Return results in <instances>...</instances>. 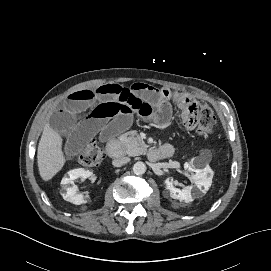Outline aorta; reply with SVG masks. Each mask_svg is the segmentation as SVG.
Listing matches in <instances>:
<instances>
[{
    "instance_id": "1",
    "label": "aorta",
    "mask_w": 271,
    "mask_h": 271,
    "mask_svg": "<svg viewBox=\"0 0 271 271\" xmlns=\"http://www.w3.org/2000/svg\"><path fill=\"white\" fill-rule=\"evenodd\" d=\"M146 165L145 163L138 161L133 165V172L136 175H142L146 172Z\"/></svg>"
}]
</instances>
